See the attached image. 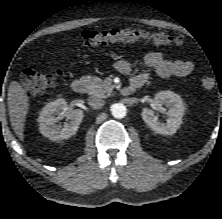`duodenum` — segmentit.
I'll list each match as a JSON object with an SVG mask.
<instances>
[{"label":"duodenum","instance_id":"duodenum-1","mask_svg":"<svg viewBox=\"0 0 222 219\" xmlns=\"http://www.w3.org/2000/svg\"><path fill=\"white\" fill-rule=\"evenodd\" d=\"M142 84L131 83L129 86L122 88L123 93H134L140 89ZM71 89L76 94H82L86 90V82L82 78H76L71 82Z\"/></svg>","mask_w":222,"mask_h":219}]
</instances>
